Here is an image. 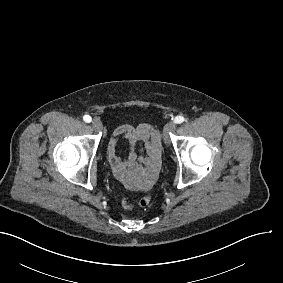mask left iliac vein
<instances>
[{
	"instance_id": "left-iliac-vein-1",
	"label": "left iliac vein",
	"mask_w": 283,
	"mask_h": 283,
	"mask_svg": "<svg viewBox=\"0 0 283 283\" xmlns=\"http://www.w3.org/2000/svg\"><path fill=\"white\" fill-rule=\"evenodd\" d=\"M175 128H176V124L173 121H170L165 125L163 129V139L166 145L168 144V134L170 132H174Z\"/></svg>"
}]
</instances>
